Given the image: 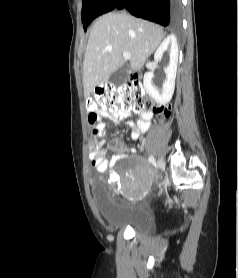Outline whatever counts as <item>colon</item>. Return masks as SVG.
Here are the masks:
<instances>
[{
	"label": "colon",
	"mask_w": 238,
	"mask_h": 278,
	"mask_svg": "<svg viewBox=\"0 0 238 278\" xmlns=\"http://www.w3.org/2000/svg\"><path fill=\"white\" fill-rule=\"evenodd\" d=\"M88 119L96 135V126L102 112H113L117 109L133 111L138 114L153 112L160 117L170 115V109L162 105H155L145 96L144 88L137 80L116 87L105 85L97 88L86 100Z\"/></svg>",
	"instance_id": "1"
}]
</instances>
